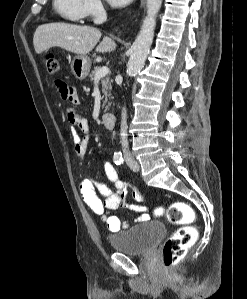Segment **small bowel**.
I'll list each match as a JSON object with an SVG mask.
<instances>
[{"label":"small bowel","instance_id":"obj_1","mask_svg":"<svg viewBox=\"0 0 247 299\" xmlns=\"http://www.w3.org/2000/svg\"><path fill=\"white\" fill-rule=\"evenodd\" d=\"M55 85L65 101L73 105L79 104V97L73 86L62 80H56ZM67 118L71 124L70 133L74 151L79 160L82 161L85 158L91 139L89 122L84 116L75 112L73 109L68 110ZM75 126L83 132L82 137L77 134ZM102 166L107 183L97 179H84L80 183V193L84 203L95 214L101 216L109 231L118 232L122 227H127V223L122 222L117 216L110 214L111 211L117 210L120 207L127 208L134 212H146L148 209L145 206L127 204L125 202L127 185L119 178L115 167L110 162L104 161ZM95 188L101 193L102 199L97 195ZM133 196L137 201L144 200L143 196L137 195L134 191ZM149 218L148 214H142L137 220L146 221L149 220Z\"/></svg>","mask_w":247,"mask_h":299}]
</instances>
